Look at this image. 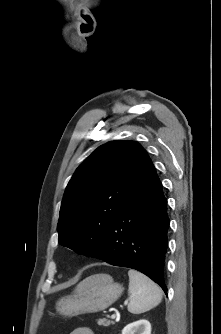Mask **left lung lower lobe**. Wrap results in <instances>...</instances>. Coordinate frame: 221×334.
<instances>
[{
	"label": "left lung lower lobe",
	"instance_id": "0a47b994",
	"mask_svg": "<svg viewBox=\"0 0 221 334\" xmlns=\"http://www.w3.org/2000/svg\"><path fill=\"white\" fill-rule=\"evenodd\" d=\"M168 229L167 200L151 165L114 217L99 258L144 273L167 294Z\"/></svg>",
	"mask_w": 221,
	"mask_h": 334
}]
</instances>
